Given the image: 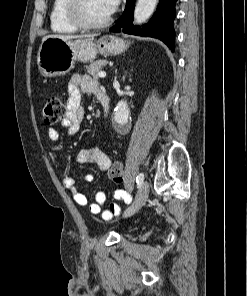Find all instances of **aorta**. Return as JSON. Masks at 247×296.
Segmentation results:
<instances>
[{"mask_svg":"<svg viewBox=\"0 0 247 296\" xmlns=\"http://www.w3.org/2000/svg\"><path fill=\"white\" fill-rule=\"evenodd\" d=\"M158 0H138L135 11L134 21L137 24L145 22L154 12ZM129 118V108L127 101H120L114 111V120L118 125H125Z\"/></svg>","mask_w":247,"mask_h":296,"instance_id":"obj_1","label":"aorta"}]
</instances>
